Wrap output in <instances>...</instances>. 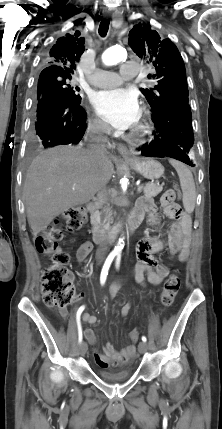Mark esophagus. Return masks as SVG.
<instances>
[{"mask_svg":"<svg viewBox=\"0 0 222 429\" xmlns=\"http://www.w3.org/2000/svg\"><path fill=\"white\" fill-rule=\"evenodd\" d=\"M104 16L107 17L108 14H105ZM113 17L122 20V13H120L119 11H115L113 13ZM117 150L123 158H131L129 150L123 144H117Z\"/></svg>","mask_w":222,"mask_h":429,"instance_id":"34e87169","label":"esophagus"}]
</instances>
